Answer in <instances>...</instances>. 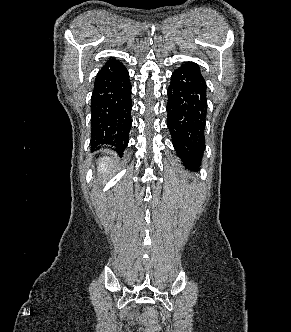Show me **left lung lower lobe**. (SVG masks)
Instances as JSON below:
<instances>
[{
  "mask_svg": "<svg viewBox=\"0 0 291 332\" xmlns=\"http://www.w3.org/2000/svg\"><path fill=\"white\" fill-rule=\"evenodd\" d=\"M206 92L205 79L196 63L185 62L172 73L167 126L177 155L185 162L200 164L205 150ZM182 143H188L192 151H184Z\"/></svg>",
  "mask_w": 291,
  "mask_h": 332,
  "instance_id": "0a47b994",
  "label": "left lung lower lobe"
}]
</instances>
